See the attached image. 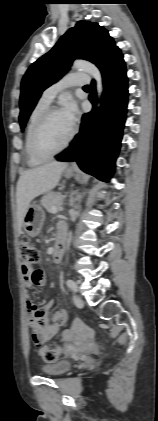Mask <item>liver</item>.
Here are the masks:
<instances>
[{
  "label": "liver",
  "instance_id": "6515ba94",
  "mask_svg": "<svg viewBox=\"0 0 158 421\" xmlns=\"http://www.w3.org/2000/svg\"><path fill=\"white\" fill-rule=\"evenodd\" d=\"M65 162H52L21 173L17 183V223L20 232L23 225V217L31 201L54 189L66 169Z\"/></svg>",
  "mask_w": 158,
  "mask_h": 421
}]
</instances>
